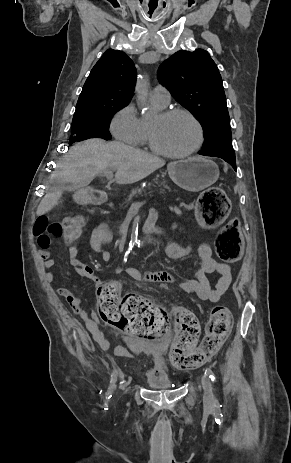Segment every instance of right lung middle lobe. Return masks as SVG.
Wrapping results in <instances>:
<instances>
[{
    "instance_id": "1",
    "label": "right lung middle lobe",
    "mask_w": 291,
    "mask_h": 463,
    "mask_svg": "<svg viewBox=\"0 0 291 463\" xmlns=\"http://www.w3.org/2000/svg\"><path fill=\"white\" fill-rule=\"evenodd\" d=\"M127 104V102L107 101L95 111L74 115L69 144L90 138L111 139L110 121L113 115Z\"/></svg>"
}]
</instances>
